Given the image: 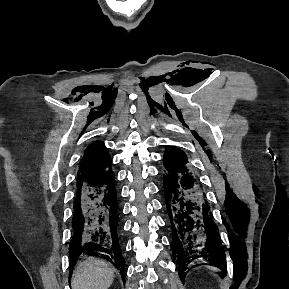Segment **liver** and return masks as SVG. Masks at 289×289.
I'll use <instances>...</instances> for the list:
<instances>
[{
  "instance_id": "1",
  "label": "liver",
  "mask_w": 289,
  "mask_h": 289,
  "mask_svg": "<svg viewBox=\"0 0 289 289\" xmlns=\"http://www.w3.org/2000/svg\"><path fill=\"white\" fill-rule=\"evenodd\" d=\"M114 281V269L104 260L88 258L77 267L72 289H108Z\"/></svg>"
}]
</instances>
